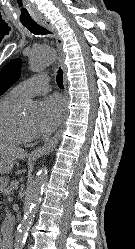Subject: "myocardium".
<instances>
[{
    "label": "myocardium",
    "instance_id": "f54148a6",
    "mask_svg": "<svg viewBox=\"0 0 135 249\" xmlns=\"http://www.w3.org/2000/svg\"><path fill=\"white\" fill-rule=\"evenodd\" d=\"M16 125H17V129L19 131V133L22 135V137L24 138V141L25 140H32L35 138V132L27 127H25L21 120H20V116L18 115L17 116V119H16Z\"/></svg>",
    "mask_w": 135,
    "mask_h": 249
}]
</instances>
